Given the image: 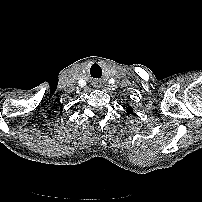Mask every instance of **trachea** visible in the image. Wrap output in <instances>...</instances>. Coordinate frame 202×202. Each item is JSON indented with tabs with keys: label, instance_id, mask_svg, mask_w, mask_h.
<instances>
[{
	"label": "trachea",
	"instance_id": "trachea-1",
	"mask_svg": "<svg viewBox=\"0 0 202 202\" xmlns=\"http://www.w3.org/2000/svg\"><path fill=\"white\" fill-rule=\"evenodd\" d=\"M100 67L97 64L92 65L90 74L93 78H100Z\"/></svg>",
	"mask_w": 202,
	"mask_h": 202
}]
</instances>
